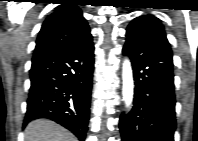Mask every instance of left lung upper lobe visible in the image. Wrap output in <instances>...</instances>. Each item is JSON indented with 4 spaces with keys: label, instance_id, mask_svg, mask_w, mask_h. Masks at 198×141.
<instances>
[{
    "label": "left lung upper lobe",
    "instance_id": "obj_1",
    "mask_svg": "<svg viewBox=\"0 0 198 141\" xmlns=\"http://www.w3.org/2000/svg\"><path fill=\"white\" fill-rule=\"evenodd\" d=\"M127 35L147 42L168 43L161 21L153 15H142L135 18L127 28Z\"/></svg>",
    "mask_w": 198,
    "mask_h": 141
}]
</instances>
